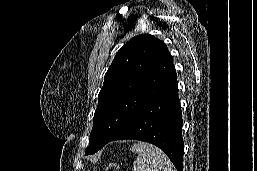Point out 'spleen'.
<instances>
[{"label":"spleen","mask_w":257,"mask_h":171,"mask_svg":"<svg viewBox=\"0 0 257 171\" xmlns=\"http://www.w3.org/2000/svg\"><path fill=\"white\" fill-rule=\"evenodd\" d=\"M131 151L138 154L133 171H176L166 154L151 144L138 142Z\"/></svg>","instance_id":"3e777b00"}]
</instances>
